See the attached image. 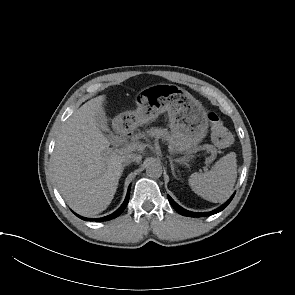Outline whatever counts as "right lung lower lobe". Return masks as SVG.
Wrapping results in <instances>:
<instances>
[{
	"label": "right lung lower lobe",
	"mask_w": 295,
	"mask_h": 295,
	"mask_svg": "<svg viewBox=\"0 0 295 295\" xmlns=\"http://www.w3.org/2000/svg\"><path fill=\"white\" fill-rule=\"evenodd\" d=\"M129 197H130V186L128 188V192H127V196H126V199L125 201L123 202V204L121 205V207L116 210L114 213L108 215V216H105L103 218H98V219H88V218H85V217H81L79 215H77L79 218H81L82 220H89V221H108V220H111L113 218H116L117 216H119L123 211L124 209L126 208L127 204H128V201H129Z\"/></svg>",
	"instance_id": "right-lung-lower-lobe-1"
}]
</instances>
